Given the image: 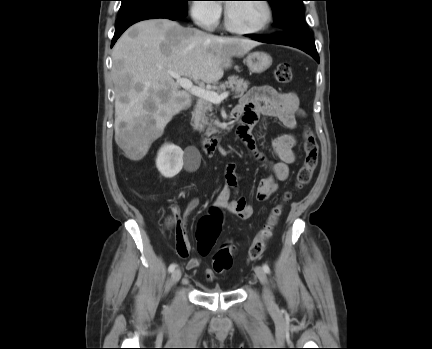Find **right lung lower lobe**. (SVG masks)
<instances>
[{
	"label": "right lung lower lobe",
	"mask_w": 432,
	"mask_h": 349,
	"mask_svg": "<svg viewBox=\"0 0 432 349\" xmlns=\"http://www.w3.org/2000/svg\"><path fill=\"white\" fill-rule=\"evenodd\" d=\"M156 18H166L170 20L179 19L171 14L159 10H142L125 16L118 17L115 24V33L112 39L111 47L115 44V42L121 36V34L132 24L142 20L156 19Z\"/></svg>",
	"instance_id": "right-lung-lower-lobe-1"
}]
</instances>
